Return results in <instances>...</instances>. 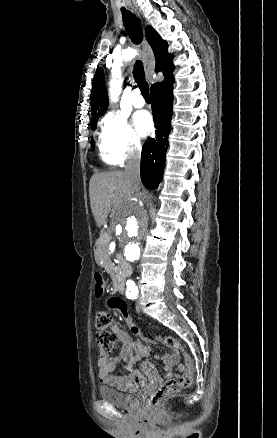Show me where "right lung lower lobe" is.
Wrapping results in <instances>:
<instances>
[{
	"label": "right lung lower lobe",
	"mask_w": 277,
	"mask_h": 438,
	"mask_svg": "<svg viewBox=\"0 0 277 438\" xmlns=\"http://www.w3.org/2000/svg\"><path fill=\"white\" fill-rule=\"evenodd\" d=\"M173 83L174 77L171 74L164 82L155 83L151 87L156 139L151 138L145 142L141 155V180L148 189H156L163 178L173 114Z\"/></svg>",
	"instance_id": "obj_1"
}]
</instances>
